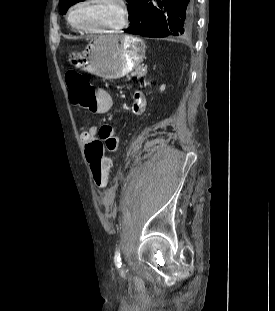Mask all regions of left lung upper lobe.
Segmentation results:
<instances>
[{"label": "left lung upper lobe", "mask_w": 275, "mask_h": 311, "mask_svg": "<svg viewBox=\"0 0 275 311\" xmlns=\"http://www.w3.org/2000/svg\"><path fill=\"white\" fill-rule=\"evenodd\" d=\"M80 1L83 0H60L59 9L62 14H65L71 5ZM144 1L145 0H127V2L130 4L128 11L129 20L131 21V23L136 19V16L141 9Z\"/></svg>", "instance_id": "1"}]
</instances>
